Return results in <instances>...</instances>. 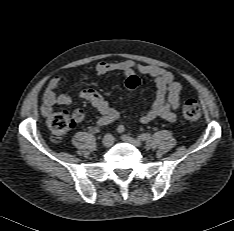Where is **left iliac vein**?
I'll return each mask as SVG.
<instances>
[{
    "label": "left iliac vein",
    "instance_id": "left-iliac-vein-1",
    "mask_svg": "<svg viewBox=\"0 0 234 231\" xmlns=\"http://www.w3.org/2000/svg\"><path fill=\"white\" fill-rule=\"evenodd\" d=\"M121 139L127 143H130L136 147H141L142 146V142L139 139L136 138H132L128 135H122Z\"/></svg>",
    "mask_w": 234,
    "mask_h": 231
}]
</instances>
